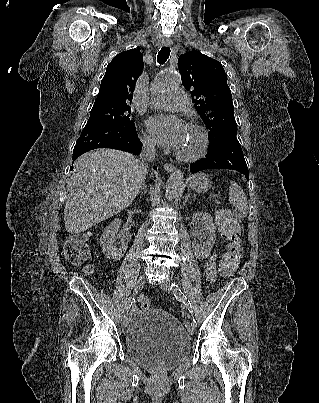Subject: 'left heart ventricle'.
<instances>
[{
    "mask_svg": "<svg viewBox=\"0 0 319 403\" xmlns=\"http://www.w3.org/2000/svg\"><path fill=\"white\" fill-rule=\"evenodd\" d=\"M198 146L199 138L197 134L190 129H186L185 139L178 151L184 154H191L197 150Z\"/></svg>",
    "mask_w": 319,
    "mask_h": 403,
    "instance_id": "left-heart-ventricle-1",
    "label": "left heart ventricle"
}]
</instances>
